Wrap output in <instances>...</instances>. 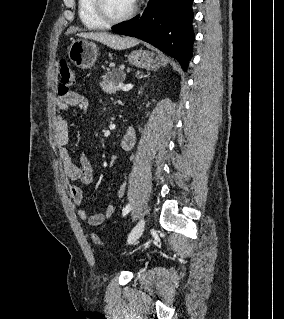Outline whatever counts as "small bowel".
I'll list each match as a JSON object with an SVG mask.
<instances>
[{
	"label": "small bowel",
	"instance_id": "small-bowel-1",
	"mask_svg": "<svg viewBox=\"0 0 284 319\" xmlns=\"http://www.w3.org/2000/svg\"><path fill=\"white\" fill-rule=\"evenodd\" d=\"M86 106V98L76 91H71L56 99V108L60 111H66L72 107H78L85 110ZM54 138L56 144L60 147L63 169L70 182V195L76 206L79 218L91 226L103 224L107 219L114 216L116 208L114 205H109L103 213L96 214H88L83 208L82 185L91 183L93 179V165L85 154L80 155L79 165L75 164L72 160L67 149L69 143V127L66 119L61 115H56L54 120ZM125 190V184H121L117 191L119 198L124 196Z\"/></svg>",
	"mask_w": 284,
	"mask_h": 319
}]
</instances>
